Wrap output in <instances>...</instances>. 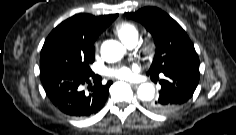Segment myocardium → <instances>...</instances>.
<instances>
[{"label":"myocardium","instance_id":"obj_1","mask_svg":"<svg viewBox=\"0 0 236 135\" xmlns=\"http://www.w3.org/2000/svg\"><path fill=\"white\" fill-rule=\"evenodd\" d=\"M156 45L153 41H147L144 45H143V52L146 55H152L155 51Z\"/></svg>","mask_w":236,"mask_h":135}]
</instances>
